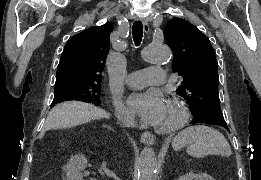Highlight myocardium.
I'll list each match as a JSON object with an SVG mask.
<instances>
[{"label":"myocardium","mask_w":261,"mask_h":180,"mask_svg":"<svg viewBox=\"0 0 261 180\" xmlns=\"http://www.w3.org/2000/svg\"><path fill=\"white\" fill-rule=\"evenodd\" d=\"M174 107L175 113L172 121L164 127L151 125L150 130L157 136L173 137L177 135L184 127L188 118L186 103L176 95L170 94L167 99Z\"/></svg>","instance_id":"myocardium-1"}]
</instances>
